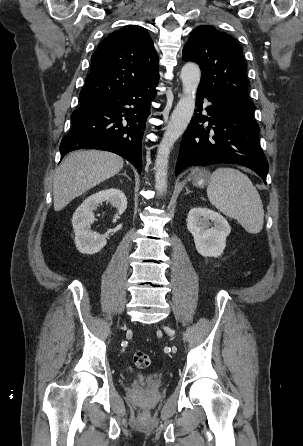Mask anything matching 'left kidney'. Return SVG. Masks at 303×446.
Wrapping results in <instances>:
<instances>
[{
  "label": "left kidney",
  "mask_w": 303,
  "mask_h": 446,
  "mask_svg": "<svg viewBox=\"0 0 303 446\" xmlns=\"http://www.w3.org/2000/svg\"><path fill=\"white\" fill-rule=\"evenodd\" d=\"M213 222V227H211ZM187 228L193 235L196 249L204 257H219L231 232L227 220L209 208H192L187 216Z\"/></svg>",
  "instance_id": "1"
}]
</instances>
